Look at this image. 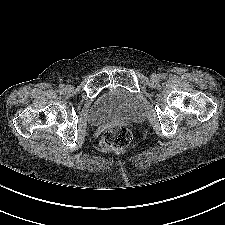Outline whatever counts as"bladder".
<instances>
[{"label":"bladder","mask_w":225,"mask_h":225,"mask_svg":"<svg viewBox=\"0 0 225 225\" xmlns=\"http://www.w3.org/2000/svg\"><path fill=\"white\" fill-rule=\"evenodd\" d=\"M144 110L136 97L116 88L95 102L88 118L92 125H100L114 120L140 121Z\"/></svg>","instance_id":"1"}]
</instances>
